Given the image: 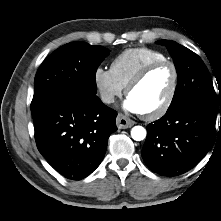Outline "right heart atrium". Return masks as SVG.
Returning <instances> with one entry per match:
<instances>
[{
	"mask_svg": "<svg viewBox=\"0 0 221 221\" xmlns=\"http://www.w3.org/2000/svg\"><path fill=\"white\" fill-rule=\"evenodd\" d=\"M95 88L105 104H112L122 95L124 87L115 79L112 72L103 67H97L93 73Z\"/></svg>",
	"mask_w": 221,
	"mask_h": 221,
	"instance_id": "1",
	"label": "right heart atrium"
}]
</instances>
